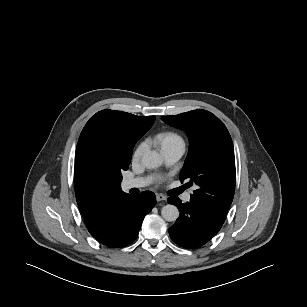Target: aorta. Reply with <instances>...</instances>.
<instances>
[{"instance_id":"aorta-1","label":"aorta","mask_w":307,"mask_h":307,"mask_svg":"<svg viewBox=\"0 0 307 307\" xmlns=\"http://www.w3.org/2000/svg\"><path fill=\"white\" fill-rule=\"evenodd\" d=\"M141 162L148 169L158 168L162 164V157L156 151H146L142 155ZM161 215L164 220L174 222L179 217V210L176 206L168 204L161 210Z\"/></svg>"}]
</instances>
